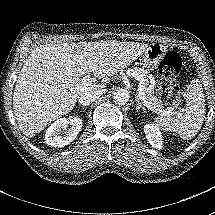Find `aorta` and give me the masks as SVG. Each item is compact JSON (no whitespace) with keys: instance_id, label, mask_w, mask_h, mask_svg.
<instances>
[{"instance_id":"aorta-1","label":"aorta","mask_w":215,"mask_h":215,"mask_svg":"<svg viewBox=\"0 0 215 215\" xmlns=\"http://www.w3.org/2000/svg\"><path fill=\"white\" fill-rule=\"evenodd\" d=\"M129 93L124 89L116 90L113 94V100L118 105H124L129 100Z\"/></svg>"}]
</instances>
